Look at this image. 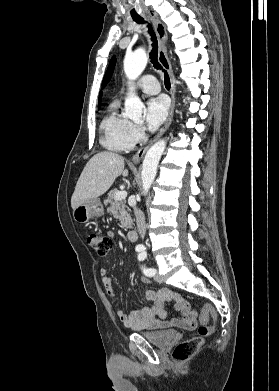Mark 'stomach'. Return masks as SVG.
I'll use <instances>...</instances> for the list:
<instances>
[{
	"label": "stomach",
	"mask_w": 279,
	"mask_h": 391,
	"mask_svg": "<svg viewBox=\"0 0 279 391\" xmlns=\"http://www.w3.org/2000/svg\"><path fill=\"white\" fill-rule=\"evenodd\" d=\"M104 209L99 199L90 200L73 210V218L78 223H87L91 218L101 217Z\"/></svg>",
	"instance_id": "obj_1"
}]
</instances>
